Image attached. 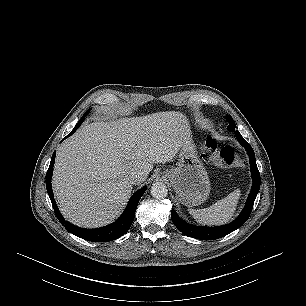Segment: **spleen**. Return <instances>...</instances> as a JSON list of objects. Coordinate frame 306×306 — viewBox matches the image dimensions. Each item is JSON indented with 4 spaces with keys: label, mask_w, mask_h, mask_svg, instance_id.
<instances>
[{
    "label": "spleen",
    "mask_w": 306,
    "mask_h": 306,
    "mask_svg": "<svg viewBox=\"0 0 306 306\" xmlns=\"http://www.w3.org/2000/svg\"><path fill=\"white\" fill-rule=\"evenodd\" d=\"M241 191L231 192L227 197L204 209H189V213L203 225H221L231 220L236 210Z\"/></svg>",
    "instance_id": "obj_1"
}]
</instances>
